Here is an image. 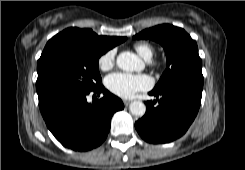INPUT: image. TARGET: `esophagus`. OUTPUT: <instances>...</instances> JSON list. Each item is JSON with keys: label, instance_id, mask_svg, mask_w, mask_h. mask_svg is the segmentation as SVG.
I'll return each mask as SVG.
<instances>
[{"label": "esophagus", "instance_id": "34e87169", "mask_svg": "<svg viewBox=\"0 0 245 170\" xmlns=\"http://www.w3.org/2000/svg\"><path fill=\"white\" fill-rule=\"evenodd\" d=\"M123 103H124L125 106H128L130 101L129 100H124Z\"/></svg>", "mask_w": 245, "mask_h": 170}]
</instances>
